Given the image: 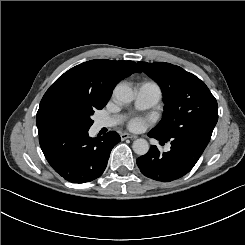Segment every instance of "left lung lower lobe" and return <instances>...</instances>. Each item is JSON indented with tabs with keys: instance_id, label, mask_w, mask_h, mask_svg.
Wrapping results in <instances>:
<instances>
[{
	"instance_id": "0a47b994",
	"label": "left lung lower lobe",
	"mask_w": 245,
	"mask_h": 245,
	"mask_svg": "<svg viewBox=\"0 0 245 245\" xmlns=\"http://www.w3.org/2000/svg\"><path fill=\"white\" fill-rule=\"evenodd\" d=\"M149 136L160 140V144L171 142L169 152L160 153L158 148L153 146L147 154L136 160L143 175L161 182L180 179L190 172L209 142L186 135L166 138L153 129L149 132Z\"/></svg>"
}]
</instances>
